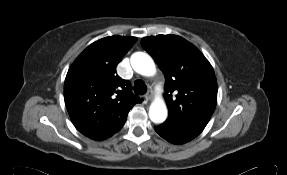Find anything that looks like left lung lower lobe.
<instances>
[{
	"mask_svg": "<svg viewBox=\"0 0 287 175\" xmlns=\"http://www.w3.org/2000/svg\"><path fill=\"white\" fill-rule=\"evenodd\" d=\"M154 129L161 137L173 144H183L192 140L188 136L174 130L164 123L159 126H155Z\"/></svg>",
	"mask_w": 287,
	"mask_h": 175,
	"instance_id": "0a47b994",
	"label": "left lung lower lobe"
}]
</instances>
